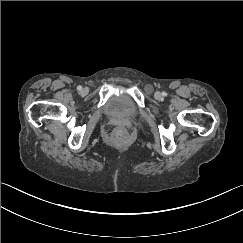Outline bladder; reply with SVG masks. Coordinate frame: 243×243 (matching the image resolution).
Listing matches in <instances>:
<instances>
[{
  "instance_id": "1",
  "label": "bladder",
  "mask_w": 243,
  "mask_h": 243,
  "mask_svg": "<svg viewBox=\"0 0 243 243\" xmlns=\"http://www.w3.org/2000/svg\"><path fill=\"white\" fill-rule=\"evenodd\" d=\"M103 113L112 119L132 120L139 116V107L128 89H122L108 97Z\"/></svg>"
}]
</instances>
